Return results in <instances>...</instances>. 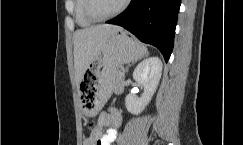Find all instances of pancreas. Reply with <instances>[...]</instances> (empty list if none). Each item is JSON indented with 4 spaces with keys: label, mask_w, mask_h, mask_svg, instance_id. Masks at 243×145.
I'll use <instances>...</instances> for the list:
<instances>
[{
    "label": "pancreas",
    "mask_w": 243,
    "mask_h": 145,
    "mask_svg": "<svg viewBox=\"0 0 243 145\" xmlns=\"http://www.w3.org/2000/svg\"><path fill=\"white\" fill-rule=\"evenodd\" d=\"M124 76H121L120 72H116L115 74V85L118 89L123 87Z\"/></svg>",
    "instance_id": "1"
}]
</instances>
